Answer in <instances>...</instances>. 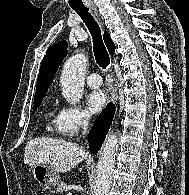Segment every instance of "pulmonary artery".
<instances>
[{
    "label": "pulmonary artery",
    "instance_id": "1",
    "mask_svg": "<svg viewBox=\"0 0 189 195\" xmlns=\"http://www.w3.org/2000/svg\"><path fill=\"white\" fill-rule=\"evenodd\" d=\"M86 84L91 88H99L102 85V78L101 76L96 73H90L86 76Z\"/></svg>",
    "mask_w": 189,
    "mask_h": 195
}]
</instances>
